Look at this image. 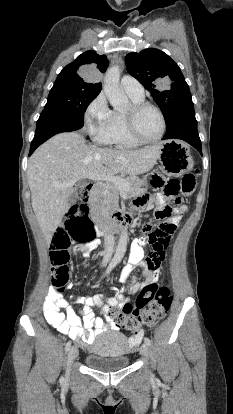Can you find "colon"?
I'll list each match as a JSON object with an SVG mask.
<instances>
[{
  "label": "colon",
  "instance_id": "colon-1",
  "mask_svg": "<svg viewBox=\"0 0 233 414\" xmlns=\"http://www.w3.org/2000/svg\"><path fill=\"white\" fill-rule=\"evenodd\" d=\"M196 174L187 173L181 180L164 179L159 175H153L150 183L154 188H163L168 197H174L178 206L184 205L196 185ZM87 197V190L79 192V198ZM168 211H159L157 216L164 218ZM175 230L173 224L164 223L159 228L151 230L145 227L148 233L147 240L152 245L143 261L148 270H155L164 259V249ZM95 232L88 210L85 204L78 203L72 206L65 215L64 225L55 232L50 250L52 260V284L54 288L61 289L57 292L61 295L65 291L71 276L70 248L73 243L87 244L94 238ZM172 303L170 289L165 285L150 284L145 286L138 294L134 303L125 302L120 311L111 309L110 319L117 329L138 333L143 326H154L162 319Z\"/></svg>",
  "mask_w": 233,
  "mask_h": 414
}]
</instances>
